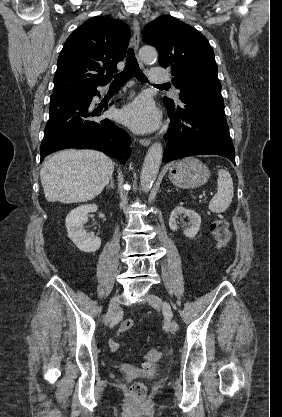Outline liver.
<instances>
[{
    "label": "liver",
    "instance_id": "1",
    "mask_svg": "<svg viewBox=\"0 0 282 417\" xmlns=\"http://www.w3.org/2000/svg\"><path fill=\"white\" fill-rule=\"evenodd\" d=\"M114 162L98 150H60L45 160L40 178L46 200L85 202L102 192Z\"/></svg>",
    "mask_w": 282,
    "mask_h": 417
}]
</instances>
